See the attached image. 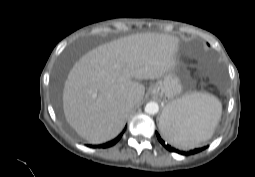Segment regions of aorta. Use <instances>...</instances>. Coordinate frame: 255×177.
<instances>
[{
    "label": "aorta",
    "instance_id": "1",
    "mask_svg": "<svg viewBox=\"0 0 255 177\" xmlns=\"http://www.w3.org/2000/svg\"><path fill=\"white\" fill-rule=\"evenodd\" d=\"M159 106L156 102H148L145 106V112L151 115L158 113Z\"/></svg>",
    "mask_w": 255,
    "mask_h": 177
}]
</instances>
